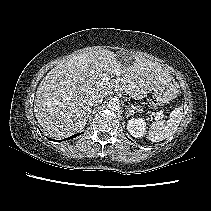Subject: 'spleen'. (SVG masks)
Wrapping results in <instances>:
<instances>
[{
    "instance_id": "obj_1",
    "label": "spleen",
    "mask_w": 211,
    "mask_h": 211,
    "mask_svg": "<svg viewBox=\"0 0 211 211\" xmlns=\"http://www.w3.org/2000/svg\"><path fill=\"white\" fill-rule=\"evenodd\" d=\"M182 118L183 107L180 106L170 113L169 119L165 125L162 122L152 124L148 134L149 140L152 142H160L172 136L177 131Z\"/></svg>"
}]
</instances>
